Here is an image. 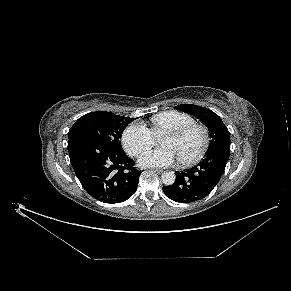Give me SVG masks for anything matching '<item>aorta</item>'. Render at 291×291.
I'll list each match as a JSON object with an SVG mask.
<instances>
[{
  "label": "aorta",
  "instance_id": "762f6f07",
  "mask_svg": "<svg viewBox=\"0 0 291 291\" xmlns=\"http://www.w3.org/2000/svg\"><path fill=\"white\" fill-rule=\"evenodd\" d=\"M175 179H176V176L173 171L164 172L162 174V182L167 186L172 185L175 182Z\"/></svg>",
  "mask_w": 291,
  "mask_h": 291
}]
</instances>
